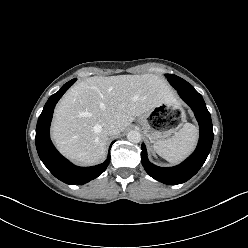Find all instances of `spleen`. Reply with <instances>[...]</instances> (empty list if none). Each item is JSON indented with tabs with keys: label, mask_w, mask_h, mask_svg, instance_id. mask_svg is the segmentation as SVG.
Masks as SVG:
<instances>
[{
	"label": "spleen",
	"mask_w": 248,
	"mask_h": 248,
	"mask_svg": "<svg viewBox=\"0 0 248 248\" xmlns=\"http://www.w3.org/2000/svg\"><path fill=\"white\" fill-rule=\"evenodd\" d=\"M197 139V128L193 124L185 123L174 136L156 141L153 147L162 158L168 162L177 163L193 151Z\"/></svg>",
	"instance_id": "3e777b00"
}]
</instances>
